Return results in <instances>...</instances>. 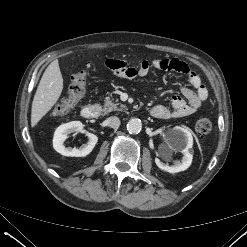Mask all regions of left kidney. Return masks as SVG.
<instances>
[{"mask_svg": "<svg viewBox=\"0 0 247 247\" xmlns=\"http://www.w3.org/2000/svg\"><path fill=\"white\" fill-rule=\"evenodd\" d=\"M193 145V137L188 129L182 127H176L173 136L169 142V149L171 151H179L183 154L180 160H176L172 166H169L159 159H155L156 165L163 171L169 173H178L188 169L192 163V154L190 149Z\"/></svg>", "mask_w": 247, "mask_h": 247, "instance_id": "obj_1", "label": "left kidney"}]
</instances>
